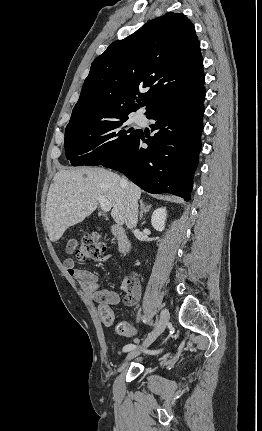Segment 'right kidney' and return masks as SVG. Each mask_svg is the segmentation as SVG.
<instances>
[{
    "label": "right kidney",
    "mask_w": 262,
    "mask_h": 431,
    "mask_svg": "<svg viewBox=\"0 0 262 431\" xmlns=\"http://www.w3.org/2000/svg\"><path fill=\"white\" fill-rule=\"evenodd\" d=\"M166 216V208L156 209L151 216V224L153 228L157 231H163L165 227Z\"/></svg>",
    "instance_id": "ca27d5eb"
}]
</instances>
